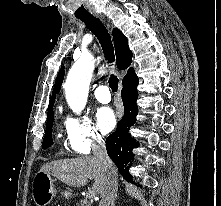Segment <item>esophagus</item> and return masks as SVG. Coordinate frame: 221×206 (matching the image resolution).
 Returning <instances> with one entry per match:
<instances>
[{
    "label": "esophagus",
    "instance_id": "esophagus-1",
    "mask_svg": "<svg viewBox=\"0 0 221 206\" xmlns=\"http://www.w3.org/2000/svg\"><path fill=\"white\" fill-rule=\"evenodd\" d=\"M96 17L100 18V19H103V17L99 14H95Z\"/></svg>",
    "mask_w": 221,
    "mask_h": 206
}]
</instances>
